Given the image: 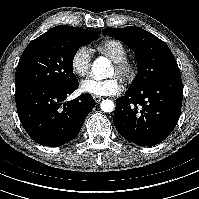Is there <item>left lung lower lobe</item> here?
I'll return each instance as SVG.
<instances>
[{"instance_id": "1", "label": "left lung lower lobe", "mask_w": 199, "mask_h": 199, "mask_svg": "<svg viewBox=\"0 0 199 199\" xmlns=\"http://www.w3.org/2000/svg\"><path fill=\"white\" fill-rule=\"evenodd\" d=\"M180 74L157 79L116 100L113 122L119 134L140 146H154L175 128L181 113Z\"/></svg>"}]
</instances>
